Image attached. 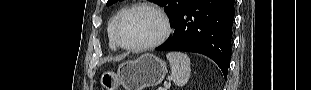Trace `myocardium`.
<instances>
[{
	"label": "myocardium",
	"instance_id": "myocardium-1",
	"mask_svg": "<svg viewBox=\"0 0 311 90\" xmlns=\"http://www.w3.org/2000/svg\"><path fill=\"white\" fill-rule=\"evenodd\" d=\"M137 10H147L150 12H153L154 14H156L159 19L161 20L162 23V31L160 33V35L153 41L147 43V44H143V45H126L124 44L120 37H119V28L121 23L123 22V20L132 12L137 11ZM171 33V23L170 20L168 18V16L166 15V13L159 7L155 6V5H151V4H136L133 5L129 8H127L126 10H124L119 17L117 18L115 25H114V30H113V36H114V40L115 43L117 44L118 47L127 50V51H131V52H143V51H147L150 49H153L159 45H161L170 35Z\"/></svg>",
	"mask_w": 311,
	"mask_h": 90
}]
</instances>
